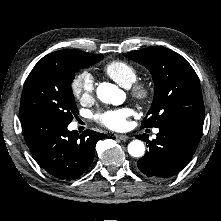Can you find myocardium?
<instances>
[{
	"mask_svg": "<svg viewBox=\"0 0 221 221\" xmlns=\"http://www.w3.org/2000/svg\"><path fill=\"white\" fill-rule=\"evenodd\" d=\"M130 95L140 103H148L152 97V89L146 82H135L130 86Z\"/></svg>",
	"mask_w": 221,
	"mask_h": 221,
	"instance_id": "obj_1",
	"label": "myocardium"
}]
</instances>
